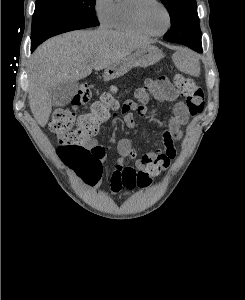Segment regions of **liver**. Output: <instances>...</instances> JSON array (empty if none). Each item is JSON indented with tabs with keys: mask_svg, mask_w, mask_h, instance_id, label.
Wrapping results in <instances>:
<instances>
[{
	"mask_svg": "<svg viewBox=\"0 0 245 300\" xmlns=\"http://www.w3.org/2000/svg\"><path fill=\"white\" fill-rule=\"evenodd\" d=\"M150 41L104 28L72 31L41 44L32 57L28 98L35 120L44 127L52 111L50 91L57 84L81 80L124 59Z\"/></svg>",
	"mask_w": 245,
	"mask_h": 300,
	"instance_id": "6515ba94",
	"label": "liver"
}]
</instances>
